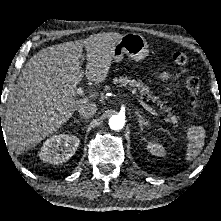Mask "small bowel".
Here are the masks:
<instances>
[{
    "mask_svg": "<svg viewBox=\"0 0 221 221\" xmlns=\"http://www.w3.org/2000/svg\"><path fill=\"white\" fill-rule=\"evenodd\" d=\"M157 78L162 80V81H167V80H170V79H177L178 75H174V74H171V73H168V72H163V73L158 74Z\"/></svg>",
    "mask_w": 221,
    "mask_h": 221,
    "instance_id": "obj_1",
    "label": "small bowel"
}]
</instances>
